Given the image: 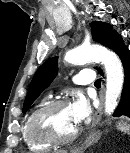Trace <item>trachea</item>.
I'll return each instance as SVG.
<instances>
[{
	"instance_id": "1",
	"label": "trachea",
	"mask_w": 130,
	"mask_h": 153,
	"mask_svg": "<svg viewBox=\"0 0 130 153\" xmlns=\"http://www.w3.org/2000/svg\"><path fill=\"white\" fill-rule=\"evenodd\" d=\"M95 86H101V80L100 79H97L94 83Z\"/></svg>"
}]
</instances>
